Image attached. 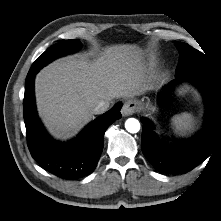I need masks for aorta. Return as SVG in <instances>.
<instances>
[{"instance_id": "1", "label": "aorta", "mask_w": 221, "mask_h": 221, "mask_svg": "<svg viewBox=\"0 0 221 221\" xmlns=\"http://www.w3.org/2000/svg\"><path fill=\"white\" fill-rule=\"evenodd\" d=\"M125 128L130 133H137L140 130V123L135 118H129L125 122Z\"/></svg>"}]
</instances>
